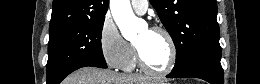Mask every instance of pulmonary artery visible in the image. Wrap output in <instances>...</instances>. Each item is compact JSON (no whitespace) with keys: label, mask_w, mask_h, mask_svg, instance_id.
Returning <instances> with one entry per match:
<instances>
[{"label":"pulmonary artery","mask_w":260,"mask_h":84,"mask_svg":"<svg viewBox=\"0 0 260 84\" xmlns=\"http://www.w3.org/2000/svg\"><path fill=\"white\" fill-rule=\"evenodd\" d=\"M131 7L137 14H144L148 9V1H131Z\"/></svg>","instance_id":"pulmonary-artery-1"}]
</instances>
